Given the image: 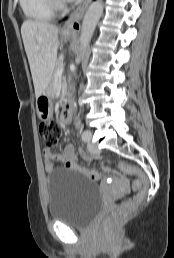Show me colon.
Wrapping results in <instances>:
<instances>
[{
	"label": "colon",
	"mask_w": 174,
	"mask_h": 258,
	"mask_svg": "<svg viewBox=\"0 0 174 258\" xmlns=\"http://www.w3.org/2000/svg\"><path fill=\"white\" fill-rule=\"evenodd\" d=\"M39 132L47 147L55 146L62 134V125L58 121L43 122L39 126ZM119 168L122 172L134 175L137 178L133 182V189L137 191V195L124 202L119 208L104 218L101 226L102 233L105 236L114 234L125 217L131 213L142 201L146 194L147 179L145 174L136 166L121 162Z\"/></svg>",
	"instance_id": "5ec220e1"
}]
</instances>
